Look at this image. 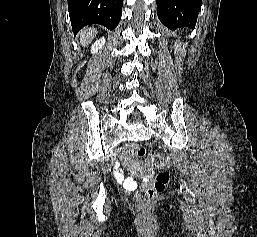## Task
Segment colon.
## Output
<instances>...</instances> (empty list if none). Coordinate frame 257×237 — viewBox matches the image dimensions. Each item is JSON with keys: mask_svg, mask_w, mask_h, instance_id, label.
Returning a JSON list of instances; mask_svg holds the SVG:
<instances>
[{"mask_svg": "<svg viewBox=\"0 0 257 237\" xmlns=\"http://www.w3.org/2000/svg\"><path fill=\"white\" fill-rule=\"evenodd\" d=\"M124 162L129 171L138 177L145 178L144 183L136 193V204L144 214L150 208L155 196L164 190L169 182L170 175L167 170H160L154 177L152 168L160 169L164 165V157L159 152L149 154L147 163L132 160V156L144 157L146 151L137 144H127L122 151Z\"/></svg>", "mask_w": 257, "mask_h": 237, "instance_id": "colon-1", "label": "colon"}]
</instances>
